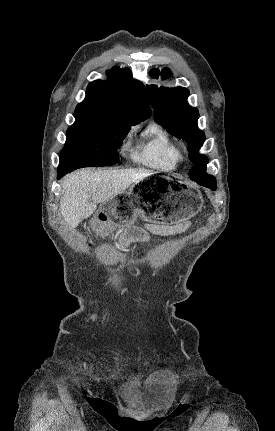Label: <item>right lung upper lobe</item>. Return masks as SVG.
Masks as SVG:
<instances>
[{
  "mask_svg": "<svg viewBox=\"0 0 275 431\" xmlns=\"http://www.w3.org/2000/svg\"><path fill=\"white\" fill-rule=\"evenodd\" d=\"M107 76L108 81L89 83L84 101L75 109L76 119L112 118L135 125L151 116L145 87L133 80L129 69L115 66Z\"/></svg>",
  "mask_w": 275,
  "mask_h": 431,
  "instance_id": "right-lung-upper-lobe-1",
  "label": "right lung upper lobe"
}]
</instances>
